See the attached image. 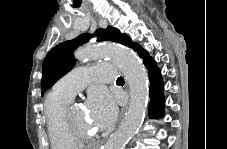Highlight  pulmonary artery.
Wrapping results in <instances>:
<instances>
[{
  "label": "pulmonary artery",
  "instance_id": "pulmonary-artery-1",
  "mask_svg": "<svg viewBox=\"0 0 227 149\" xmlns=\"http://www.w3.org/2000/svg\"><path fill=\"white\" fill-rule=\"evenodd\" d=\"M116 68L110 63H98L91 67H78L61 78L54 89L67 96H74L90 82L104 83L115 79Z\"/></svg>",
  "mask_w": 227,
  "mask_h": 149
}]
</instances>
